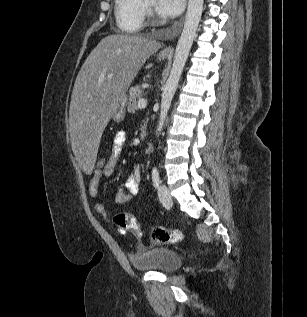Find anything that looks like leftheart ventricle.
Wrapping results in <instances>:
<instances>
[{
  "mask_svg": "<svg viewBox=\"0 0 307 317\" xmlns=\"http://www.w3.org/2000/svg\"><path fill=\"white\" fill-rule=\"evenodd\" d=\"M152 7L155 5V0H146Z\"/></svg>",
  "mask_w": 307,
  "mask_h": 317,
  "instance_id": "1",
  "label": "left heart ventricle"
}]
</instances>
